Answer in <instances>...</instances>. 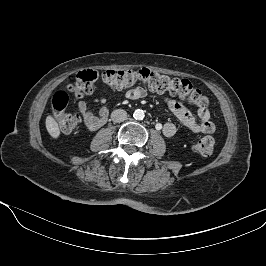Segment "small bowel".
Returning <instances> with one entry per match:
<instances>
[{"instance_id":"small-bowel-1","label":"small bowel","mask_w":266,"mask_h":266,"mask_svg":"<svg viewBox=\"0 0 266 266\" xmlns=\"http://www.w3.org/2000/svg\"><path fill=\"white\" fill-rule=\"evenodd\" d=\"M146 91L141 87L130 89L126 93V97L131 100H138L145 97ZM105 97L95 99V102L101 105L98 113H94L85 101L78 103V110L82 115L85 127L89 131L99 129L107 120L108 108ZM166 103L171 112L176 118L187 128L195 133L212 134L215 131V126L210 120L209 110L199 109L197 116L192 115L189 110L180 102L168 99ZM163 134L166 137H172L176 133V126L171 122H166L162 128Z\"/></svg>"}]
</instances>
